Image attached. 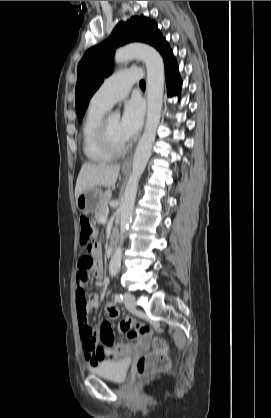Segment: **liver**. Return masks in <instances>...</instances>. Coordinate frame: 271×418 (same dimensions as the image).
I'll return each mask as SVG.
<instances>
[{"label":"liver","instance_id":"1","mask_svg":"<svg viewBox=\"0 0 271 418\" xmlns=\"http://www.w3.org/2000/svg\"><path fill=\"white\" fill-rule=\"evenodd\" d=\"M120 171L119 164H91L84 163L79 172L76 186L75 198L85 190L93 187H112L117 181Z\"/></svg>","mask_w":271,"mask_h":418}]
</instances>
